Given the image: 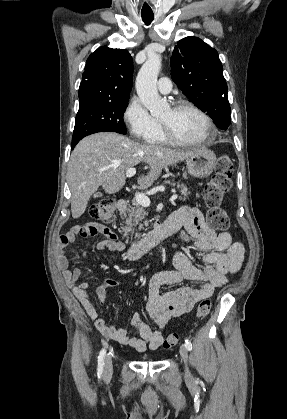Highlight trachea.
Instances as JSON below:
<instances>
[{
	"mask_svg": "<svg viewBox=\"0 0 287 419\" xmlns=\"http://www.w3.org/2000/svg\"><path fill=\"white\" fill-rule=\"evenodd\" d=\"M142 20L146 25L151 24V22L154 19V15L153 14H142Z\"/></svg>",
	"mask_w": 287,
	"mask_h": 419,
	"instance_id": "3493384b",
	"label": "trachea"
}]
</instances>
